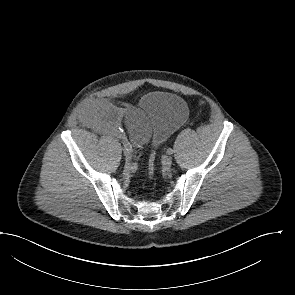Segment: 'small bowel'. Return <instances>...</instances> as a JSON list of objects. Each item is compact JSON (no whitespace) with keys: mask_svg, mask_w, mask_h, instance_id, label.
Here are the masks:
<instances>
[{"mask_svg":"<svg viewBox=\"0 0 295 295\" xmlns=\"http://www.w3.org/2000/svg\"><path fill=\"white\" fill-rule=\"evenodd\" d=\"M121 116L125 120L132 144L141 147L150 138V123L145 114L139 109H118L109 102L99 100L83 112L86 124L105 133L113 131V120Z\"/></svg>","mask_w":295,"mask_h":295,"instance_id":"small-bowel-1","label":"small bowel"}]
</instances>
